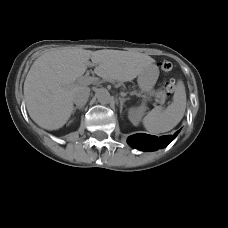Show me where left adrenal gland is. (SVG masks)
<instances>
[{"label":"left adrenal gland","mask_w":228,"mask_h":228,"mask_svg":"<svg viewBox=\"0 0 228 228\" xmlns=\"http://www.w3.org/2000/svg\"><path fill=\"white\" fill-rule=\"evenodd\" d=\"M119 100H120V113H122L124 102L127 99L119 97Z\"/></svg>","instance_id":"obj_1"}]
</instances>
